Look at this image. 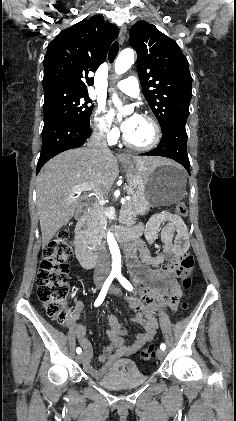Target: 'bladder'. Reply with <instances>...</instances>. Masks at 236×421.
<instances>
[{
	"mask_svg": "<svg viewBox=\"0 0 236 421\" xmlns=\"http://www.w3.org/2000/svg\"><path fill=\"white\" fill-rule=\"evenodd\" d=\"M148 375H142L131 359L121 360V365L103 375V385L116 390H127L141 386Z\"/></svg>",
	"mask_w": 236,
	"mask_h": 421,
	"instance_id": "obj_1",
	"label": "bladder"
}]
</instances>
